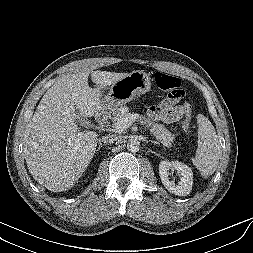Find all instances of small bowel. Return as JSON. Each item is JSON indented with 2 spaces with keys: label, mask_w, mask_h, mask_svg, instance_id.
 I'll return each instance as SVG.
<instances>
[{
  "label": "small bowel",
  "mask_w": 253,
  "mask_h": 253,
  "mask_svg": "<svg viewBox=\"0 0 253 253\" xmlns=\"http://www.w3.org/2000/svg\"><path fill=\"white\" fill-rule=\"evenodd\" d=\"M179 98L168 96L160 103L153 105L149 109V115L164 124H171L181 120L186 115L183 105L177 106Z\"/></svg>",
  "instance_id": "small-bowel-1"
}]
</instances>
